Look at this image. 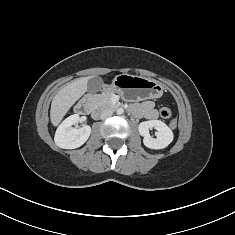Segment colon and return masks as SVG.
Here are the masks:
<instances>
[{
	"label": "colon",
	"mask_w": 235,
	"mask_h": 235,
	"mask_svg": "<svg viewBox=\"0 0 235 235\" xmlns=\"http://www.w3.org/2000/svg\"><path fill=\"white\" fill-rule=\"evenodd\" d=\"M171 115H172V110L169 108V107H167V106H164V107H162L161 109H160V116L162 117V118H165V119H168V118H170L171 117ZM176 121H171L170 122V127L172 128V129H174L175 127H176Z\"/></svg>",
	"instance_id": "5ec220e1"
}]
</instances>
